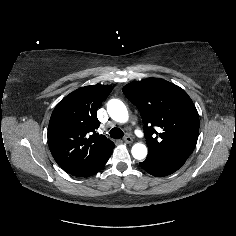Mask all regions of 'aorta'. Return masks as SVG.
<instances>
[{
    "label": "aorta",
    "instance_id": "1",
    "mask_svg": "<svg viewBox=\"0 0 236 236\" xmlns=\"http://www.w3.org/2000/svg\"><path fill=\"white\" fill-rule=\"evenodd\" d=\"M109 116L119 123H125L128 120V110L125 104L118 99H111L107 103ZM132 156L137 160H142L147 156V147L142 143H136L131 149Z\"/></svg>",
    "mask_w": 236,
    "mask_h": 236
}]
</instances>
